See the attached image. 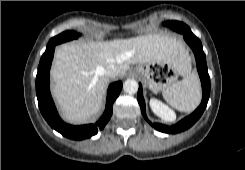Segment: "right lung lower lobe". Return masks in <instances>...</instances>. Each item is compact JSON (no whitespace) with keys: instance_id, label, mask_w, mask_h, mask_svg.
Returning a JSON list of instances; mask_svg holds the SVG:
<instances>
[{"instance_id":"obj_1","label":"right lung lower lobe","mask_w":245,"mask_h":170,"mask_svg":"<svg viewBox=\"0 0 245 170\" xmlns=\"http://www.w3.org/2000/svg\"><path fill=\"white\" fill-rule=\"evenodd\" d=\"M55 45L48 46L41 57L36 76V95L40 111L48 124L63 136L74 140H82L102 130L112 115V106L120 94L122 82H115L108 88L106 109L102 117L94 124L73 126L64 123L59 117L49 89V71L54 55Z\"/></svg>"}]
</instances>
